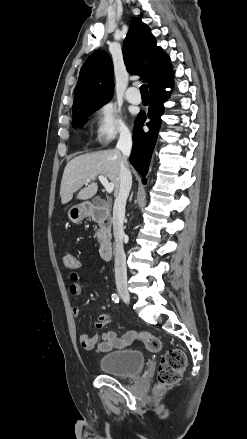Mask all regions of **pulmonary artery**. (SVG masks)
I'll return each instance as SVG.
<instances>
[{
	"mask_svg": "<svg viewBox=\"0 0 247 439\" xmlns=\"http://www.w3.org/2000/svg\"><path fill=\"white\" fill-rule=\"evenodd\" d=\"M125 97L128 102L132 104H140L142 99L138 94L137 89L135 87H130L126 90Z\"/></svg>",
	"mask_w": 247,
	"mask_h": 439,
	"instance_id": "obj_1",
	"label": "pulmonary artery"
}]
</instances>
